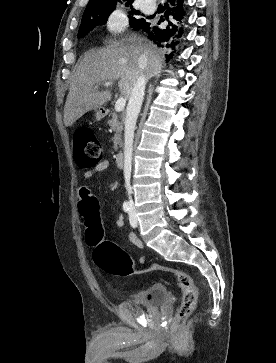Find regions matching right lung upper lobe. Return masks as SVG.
Returning <instances> with one entry per match:
<instances>
[{
	"instance_id": "cb5924a9",
	"label": "right lung upper lobe",
	"mask_w": 276,
	"mask_h": 363,
	"mask_svg": "<svg viewBox=\"0 0 276 363\" xmlns=\"http://www.w3.org/2000/svg\"><path fill=\"white\" fill-rule=\"evenodd\" d=\"M116 1H119V0H90L89 3H88V6L102 4V3L116 2ZM126 1L132 3L134 0H126Z\"/></svg>"
}]
</instances>
